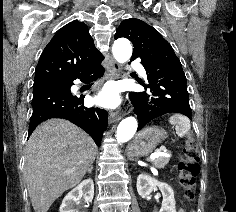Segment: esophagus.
Segmentation results:
<instances>
[{"mask_svg":"<svg viewBox=\"0 0 236 212\" xmlns=\"http://www.w3.org/2000/svg\"><path fill=\"white\" fill-rule=\"evenodd\" d=\"M118 70H119L118 64L113 59H111L110 60V66H109V69H108L109 76L110 77H115ZM119 119H120V114L118 112L112 111V112L109 113L110 122H114V121H117Z\"/></svg>","mask_w":236,"mask_h":212,"instance_id":"esophagus-1","label":"esophagus"}]
</instances>
